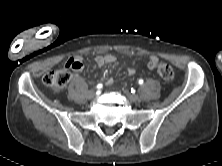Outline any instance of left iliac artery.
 Here are the masks:
<instances>
[{
	"mask_svg": "<svg viewBox=\"0 0 222 166\" xmlns=\"http://www.w3.org/2000/svg\"><path fill=\"white\" fill-rule=\"evenodd\" d=\"M143 80L142 79H140L139 81H138V83L140 84V85H142L143 84Z\"/></svg>",
	"mask_w": 222,
	"mask_h": 166,
	"instance_id": "left-iliac-artery-1",
	"label": "left iliac artery"
}]
</instances>
